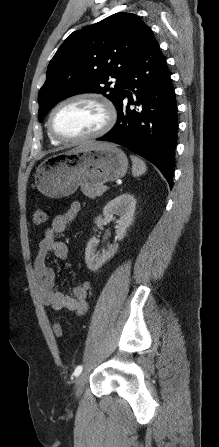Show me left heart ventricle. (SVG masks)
Returning <instances> with one entry per match:
<instances>
[{
    "label": "left heart ventricle",
    "instance_id": "1",
    "mask_svg": "<svg viewBox=\"0 0 219 447\" xmlns=\"http://www.w3.org/2000/svg\"><path fill=\"white\" fill-rule=\"evenodd\" d=\"M104 122L102 108L89 101H77L61 107L54 115V130L61 136L76 138L99 129Z\"/></svg>",
    "mask_w": 219,
    "mask_h": 447
}]
</instances>
